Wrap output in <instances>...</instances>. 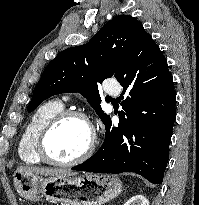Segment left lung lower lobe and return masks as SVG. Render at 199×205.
<instances>
[{
    "instance_id": "obj_1",
    "label": "left lung lower lobe",
    "mask_w": 199,
    "mask_h": 205,
    "mask_svg": "<svg viewBox=\"0 0 199 205\" xmlns=\"http://www.w3.org/2000/svg\"><path fill=\"white\" fill-rule=\"evenodd\" d=\"M128 96L118 126L105 125L101 148L73 170L134 172L153 184L163 181L176 119V94L167 60L144 30L117 79Z\"/></svg>"
}]
</instances>
